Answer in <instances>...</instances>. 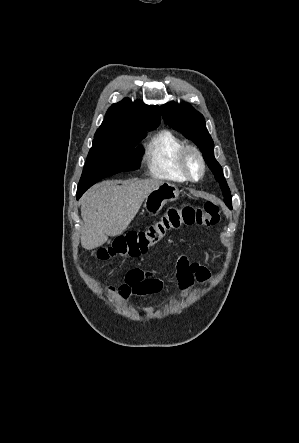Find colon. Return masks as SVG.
<instances>
[{
  "instance_id": "1",
  "label": "colon",
  "mask_w": 299,
  "mask_h": 443,
  "mask_svg": "<svg viewBox=\"0 0 299 443\" xmlns=\"http://www.w3.org/2000/svg\"><path fill=\"white\" fill-rule=\"evenodd\" d=\"M219 220L220 210L213 202H205L201 206L184 204L180 208L173 207L146 229L119 236L112 244L100 248L98 256L102 260L137 257L157 245L170 231L183 227L205 228L217 224Z\"/></svg>"
}]
</instances>
